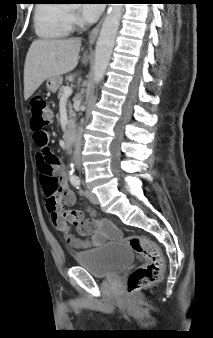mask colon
<instances>
[{
    "mask_svg": "<svg viewBox=\"0 0 213 338\" xmlns=\"http://www.w3.org/2000/svg\"><path fill=\"white\" fill-rule=\"evenodd\" d=\"M30 108L33 139L35 144L43 149L49 141L48 132L44 128L51 125L53 116L43 98H34L31 101ZM37 167L40 175L46 178L44 187L47 194L46 208L53 222V217L59 209V204L54 198L57 181L54 178L55 169L52 167V159L46 155V152L39 154ZM67 218L72 223H77V216L73 212H69ZM126 242L143 260L142 264L128 278V291L136 292L153 286L162 278L164 270V259L160 248L155 242L143 235L128 236Z\"/></svg>",
    "mask_w": 213,
    "mask_h": 338,
    "instance_id": "5ec220e1",
    "label": "colon"
}]
</instances>
